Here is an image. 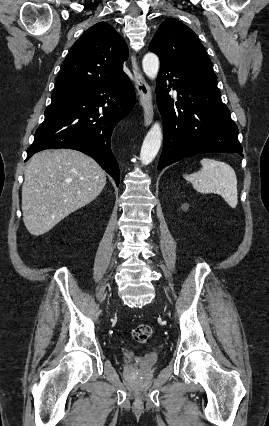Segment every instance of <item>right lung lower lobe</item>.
Returning <instances> with one entry per match:
<instances>
[{"label": "right lung lower lobe", "mask_w": 269, "mask_h": 426, "mask_svg": "<svg viewBox=\"0 0 269 426\" xmlns=\"http://www.w3.org/2000/svg\"><path fill=\"white\" fill-rule=\"evenodd\" d=\"M135 102V91L127 75L109 84L75 91L67 100L45 110L44 122L27 149L26 161L44 149L78 150L96 160L118 186L119 166L111 151V136Z\"/></svg>", "instance_id": "obj_1"}]
</instances>
